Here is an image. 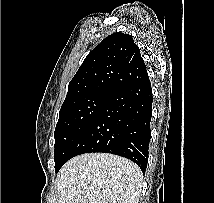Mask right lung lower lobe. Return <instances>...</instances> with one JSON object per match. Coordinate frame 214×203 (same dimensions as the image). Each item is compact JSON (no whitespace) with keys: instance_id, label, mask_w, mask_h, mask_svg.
Listing matches in <instances>:
<instances>
[{"instance_id":"1","label":"right lung lower lobe","mask_w":214,"mask_h":203,"mask_svg":"<svg viewBox=\"0 0 214 203\" xmlns=\"http://www.w3.org/2000/svg\"><path fill=\"white\" fill-rule=\"evenodd\" d=\"M152 101L149 77L113 94L73 145L66 162L84 153H111L132 160L145 173Z\"/></svg>"}]
</instances>
